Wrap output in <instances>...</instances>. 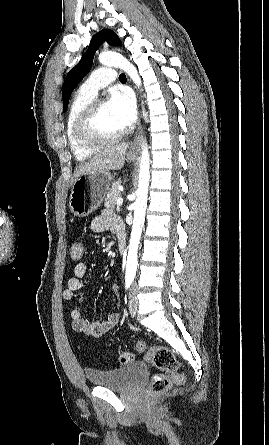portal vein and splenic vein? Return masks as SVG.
<instances>
[{
  "mask_svg": "<svg viewBox=\"0 0 269 445\" xmlns=\"http://www.w3.org/2000/svg\"><path fill=\"white\" fill-rule=\"evenodd\" d=\"M122 203H123V199H122L121 197L118 198L117 201H116V204H117L118 206H120V205H122Z\"/></svg>",
  "mask_w": 269,
  "mask_h": 445,
  "instance_id": "1",
  "label": "portal vein and splenic vein"
}]
</instances>
